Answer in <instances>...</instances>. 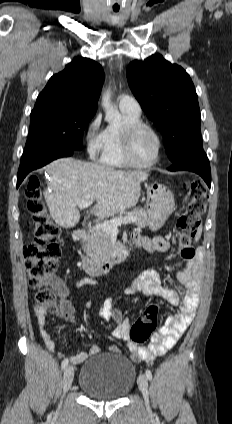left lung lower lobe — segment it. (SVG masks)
<instances>
[{"label":"left lung lower lobe","instance_id":"left-lung-lower-lobe-1","mask_svg":"<svg viewBox=\"0 0 232 424\" xmlns=\"http://www.w3.org/2000/svg\"><path fill=\"white\" fill-rule=\"evenodd\" d=\"M170 171L187 170L199 174L211 186V170L209 160L203 150L202 140L198 139L190 143L172 162Z\"/></svg>","mask_w":232,"mask_h":424}]
</instances>
